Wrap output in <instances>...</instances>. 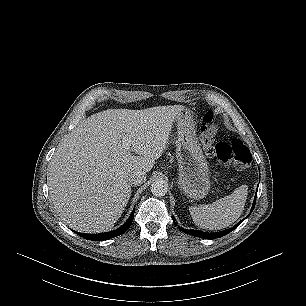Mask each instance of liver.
I'll use <instances>...</instances> for the list:
<instances>
[{
  "instance_id": "liver-1",
  "label": "liver",
  "mask_w": 306,
  "mask_h": 306,
  "mask_svg": "<svg viewBox=\"0 0 306 306\" xmlns=\"http://www.w3.org/2000/svg\"><path fill=\"white\" fill-rule=\"evenodd\" d=\"M185 110L108 109L81 121L58 144L49 167L50 199L61 220L83 233L112 229L131 195L129 175L153 168Z\"/></svg>"
}]
</instances>
